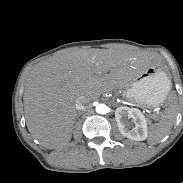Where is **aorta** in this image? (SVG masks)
Returning a JSON list of instances; mask_svg holds the SVG:
<instances>
[{
  "label": "aorta",
  "instance_id": "aorta-1",
  "mask_svg": "<svg viewBox=\"0 0 183 183\" xmlns=\"http://www.w3.org/2000/svg\"><path fill=\"white\" fill-rule=\"evenodd\" d=\"M108 107L105 104H97L96 105V112L98 114H106L108 112Z\"/></svg>",
  "mask_w": 183,
  "mask_h": 183
}]
</instances>
